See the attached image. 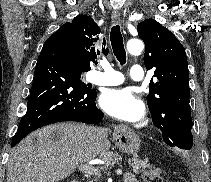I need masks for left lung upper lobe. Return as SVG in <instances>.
<instances>
[{
	"label": "left lung upper lobe",
	"instance_id": "left-lung-upper-lobe-1",
	"mask_svg": "<svg viewBox=\"0 0 211 182\" xmlns=\"http://www.w3.org/2000/svg\"><path fill=\"white\" fill-rule=\"evenodd\" d=\"M145 43L144 64L155 70L147 104L154 125L171 147L193 149L189 105V71L185 49L175 35L159 22L147 19L137 25Z\"/></svg>",
	"mask_w": 211,
	"mask_h": 182
}]
</instances>
